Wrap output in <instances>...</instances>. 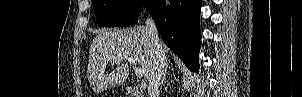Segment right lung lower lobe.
<instances>
[{"mask_svg": "<svg viewBox=\"0 0 302 97\" xmlns=\"http://www.w3.org/2000/svg\"><path fill=\"white\" fill-rule=\"evenodd\" d=\"M201 5V0H149L145 6L165 44L197 72Z\"/></svg>", "mask_w": 302, "mask_h": 97, "instance_id": "right-lung-lower-lobe-1", "label": "right lung lower lobe"}]
</instances>
